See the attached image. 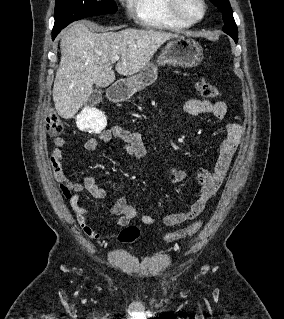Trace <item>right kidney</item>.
I'll return each mask as SVG.
<instances>
[{
    "mask_svg": "<svg viewBox=\"0 0 284 319\" xmlns=\"http://www.w3.org/2000/svg\"><path fill=\"white\" fill-rule=\"evenodd\" d=\"M76 123L81 131L91 129L99 133L106 127L107 119L101 111L85 107L77 116Z\"/></svg>",
    "mask_w": 284,
    "mask_h": 319,
    "instance_id": "right-kidney-1",
    "label": "right kidney"
}]
</instances>
